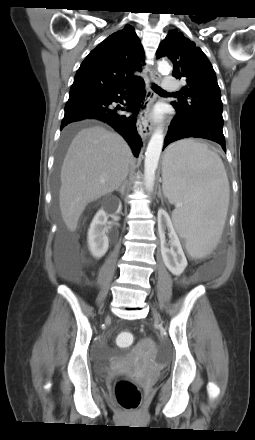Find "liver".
I'll list each match as a JSON object with an SVG mask.
<instances>
[{
  "label": "liver",
  "instance_id": "obj_1",
  "mask_svg": "<svg viewBox=\"0 0 255 440\" xmlns=\"http://www.w3.org/2000/svg\"><path fill=\"white\" fill-rule=\"evenodd\" d=\"M132 152L117 133L100 126L84 128L72 140L61 168L59 206L75 231L88 203L116 190L125 180ZM165 165L163 164V171Z\"/></svg>",
  "mask_w": 255,
  "mask_h": 440
}]
</instances>
